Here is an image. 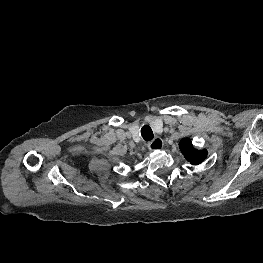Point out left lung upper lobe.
Listing matches in <instances>:
<instances>
[{"mask_svg":"<svg viewBox=\"0 0 263 263\" xmlns=\"http://www.w3.org/2000/svg\"><path fill=\"white\" fill-rule=\"evenodd\" d=\"M179 147L185 159L192 165H198L207 157V150H197L193 147L189 138H184L179 142Z\"/></svg>","mask_w":263,"mask_h":263,"instance_id":"obj_1","label":"left lung upper lobe"}]
</instances>
